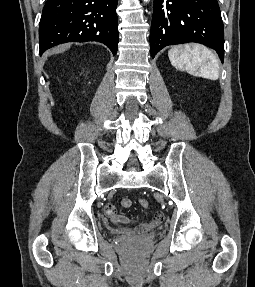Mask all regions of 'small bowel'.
Listing matches in <instances>:
<instances>
[{
  "mask_svg": "<svg viewBox=\"0 0 255 287\" xmlns=\"http://www.w3.org/2000/svg\"><path fill=\"white\" fill-rule=\"evenodd\" d=\"M121 204L124 207H130L132 202L129 198H123ZM105 214L114 224H127L135 225V229L138 231H149L160 225L164 219V215L161 212L155 213L152 220L148 223H140L139 219L131 218L117 213L116 205L113 203L105 206Z\"/></svg>",
  "mask_w": 255,
  "mask_h": 287,
  "instance_id": "c3829d8e",
  "label": "small bowel"
}]
</instances>
